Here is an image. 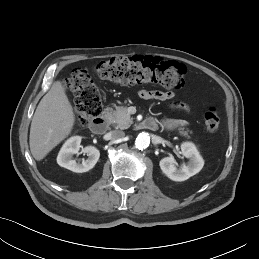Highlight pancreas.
Masks as SVG:
<instances>
[{
  "instance_id": "1",
  "label": "pancreas",
  "mask_w": 259,
  "mask_h": 259,
  "mask_svg": "<svg viewBox=\"0 0 259 259\" xmlns=\"http://www.w3.org/2000/svg\"><path fill=\"white\" fill-rule=\"evenodd\" d=\"M106 117L111 123H114L117 125L120 129H127L132 124V119L130 117V114L127 111V108L124 106H118L116 107V110H110L106 112ZM192 131L184 128L179 129V134L181 136H184L186 138H190V135Z\"/></svg>"
}]
</instances>
